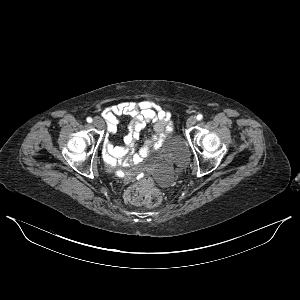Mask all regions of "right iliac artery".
Instances as JSON below:
<instances>
[{
  "label": "right iliac artery",
  "instance_id": "1",
  "mask_svg": "<svg viewBox=\"0 0 300 300\" xmlns=\"http://www.w3.org/2000/svg\"><path fill=\"white\" fill-rule=\"evenodd\" d=\"M86 120H87L88 123H91V122H92V118H91V117H87Z\"/></svg>",
  "mask_w": 300,
  "mask_h": 300
}]
</instances>
